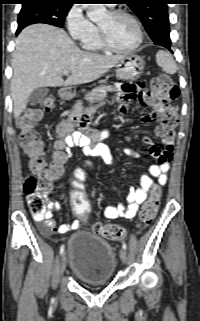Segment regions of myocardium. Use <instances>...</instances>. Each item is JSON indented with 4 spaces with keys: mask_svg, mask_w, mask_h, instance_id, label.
<instances>
[{
    "mask_svg": "<svg viewBox=\"0 0 200 321\" xmlns=\"http://www.w3.org/2000/svg\"><path fill=\"white\" fill-rule=\"evenodd\" d=\"M109 15L113 18H117V17H126L129 18L135 25L136 30H137V41L135 42L134 45H132L129 48H117L115 47L109 40L106 32L98 25L97 30H98V36H99V41L101 46L112 53H117V54H128V53H132L134 51H136L141 44L143 43L144 40V33H143V29L141 26L140 21L138 20V18L131 14L128 11L125 10H114L111 11L109 13Z\"/></svg>",
    "mask_w": 200,
    "mask_h": 321,
    "instance_id": "myocardium-1",
    "label": "myocardium"
}]
</instances>
